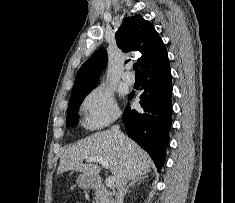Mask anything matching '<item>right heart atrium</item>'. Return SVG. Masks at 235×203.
<instances>
[{"instance_id":"1","label":"right heart atrium","mask_w":235,"mask_h":203,"mask_svg":"<svg viewBox=\"0 0 235 203\" xmlns=\"http://www.w3.org/2000/svg\"><path fill=\"white\" fill-rule=\"evenodd\" d=\"M81 111L85 124L90 129L103 128L120 115L112 91L104 85L95 87L86 95L81 105Z\"/></svg>"}]
</instances>
